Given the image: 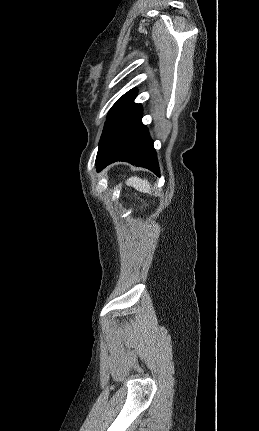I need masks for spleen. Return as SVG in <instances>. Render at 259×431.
Segmentation results:
<instances>
[{
    "mask_svg": "<svg viewBox=\"0 0 259 431\" xmlns=\"http://www.w3.org/2000/svg\"><path fill=\"white\" fill-rule=\"evenodd\" d=\"M126 185L132 186L137 191L151 194V184L146 179H141L136 176H132L126 181Z\"/></svg>",
    "mask_w": 259,
    "mask_h": 431,
    "instance_id": "spleen-1",
    "label": "spleen"
}]
</instances>
